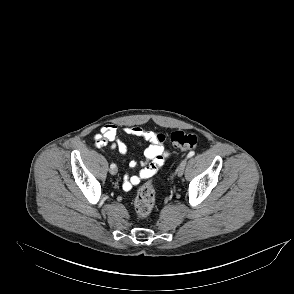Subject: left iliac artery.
Here are the masks:
<instances>
[{
	"mask_svg": "<svg viewBox=\"0 0 294 294\" xmlns=\"http://www.w3.org/2000/svg\"><path fill=\"white\" fill-rule=\"evenodd\" d=\"M195 155V152L194 151H190L187 155V158H191Z\"/></svg>",
	"mask_w": 294,
	"mask_h": 294,
	"instance_id": "1",
	"label": "left iliac artery"
}]
</instances>
